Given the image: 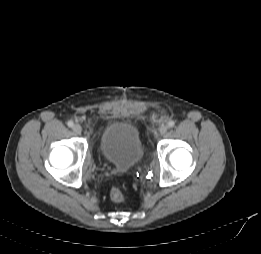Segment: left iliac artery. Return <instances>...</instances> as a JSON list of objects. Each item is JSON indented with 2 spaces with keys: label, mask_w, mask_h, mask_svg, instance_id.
<instances>
[{
  "label": "left iliac artery",
  "mask_w": 261,
  "mask_h": 254,
  "mask_svg": "<svg viewBox=\"0 0 261 254\" xmlns=\"http://www.w3.org/2000/svg\"><path fill=\"white\" fill-rule=\"evenodd\" d=\"M167 125H168V127L172 128L175 125V121L170 120Z\"/></svg>",
  "instance_id": "obj_1"
}]
</instances>
